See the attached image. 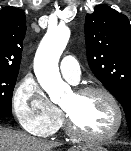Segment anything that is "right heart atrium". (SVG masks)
<instances>
[{"mask_svg":"<svg viewBox=\"0 0 131 151\" xmlns=\"http://www.w3.org/2000/svg\"><path fill=\"white\" fill-rule=\"evenodd\" d=\"M12 107L20 126L36 136L52 134L62 120L60 110L39 84L28 76L17 84L12 96Z\"/></svg>","mask_w":131,"mask_h":151,"instance_id":"right-heart-atrium-1","label":"right heart atrium"}]
</instances>
